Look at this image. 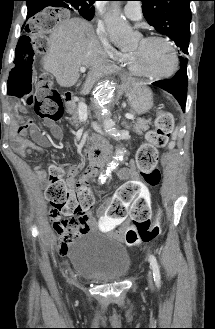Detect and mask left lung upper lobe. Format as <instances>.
I'll return each mask as SVG.
<instances>
[{
  "label": "left lung upper lobe",
  "instance_id": "left-lung-upper-lobe-1",
  "mask_svg": "<svg viewBox=\"0 0 215 329\" xmlns=\"http://www.w3.org/2000/svg\"><path fill=\"white\" fill-rule=\"evenodd\" d=\"M148 23L159 33L171 38L182 53L188 54L191 22V0H141ZM188 61L180 57V62Z\"/></svg>",
  "mask_w": 215,
  "mask_h": 329
}]
</instances>
